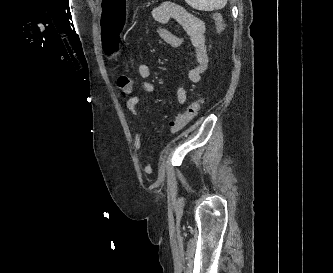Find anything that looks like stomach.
Masks as SVG:
<instances>
[{
  "mask_svg": "<svg viewBox=\"0 0 333 273\" xmlns=\"http://www.w3.org/2000/svg\"><path fill=\"white\" fill-rule=\"evenodd\" d=\"M98 13L99 23L103 28V38H120V32H124V28L130 23V16H127V4L129 0H100ZM103 51H107L110 60H117L120 51L118 39H105Z\"/></svg>",
  "mask_w": 333,
  "mask_h": 273,
  "instance_id": "0dacf381",
  "label": "stomach"
}]
</instances>
